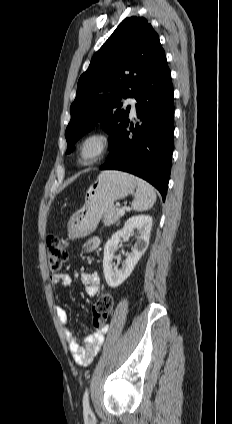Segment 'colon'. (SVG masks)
Instances as JSON below:
<instances>
[{
	"instance_id": "colon-1",
	"label": "colon",
	"mask_w": 232,
	"mask_h": 424,
	"mask_svg": "<svg viewBox=\"0 0 232 424\" xmlns=\"http://www.w3.org/2000/svg\"><path fill=\"white\" fill-rule=\"evenodd\" d=\"M67 251L64 240L58 235H50L47 239V262L50 271H59L65 260ZM114 305L113 296L102 293L92 307L91 321L94 327H99L107 319Z\"/></svg>"
}]
</instances>
